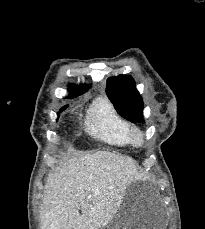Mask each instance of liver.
<instances>
[{"instance_id":"liver-1","label":"liver","mask_w":205,"mask_h":229,"mask_svg":"<svg viewBox=\"0 0 205 229\" xmlns=\"http://www.w3.org/2000/svg\"><path fill=\"white\" fill-rule=\"evenodd\" d=\"M137 173L127 156L74 153L47 178L41 229H100L117 213Z\"/></svg>"}]
</instances>
